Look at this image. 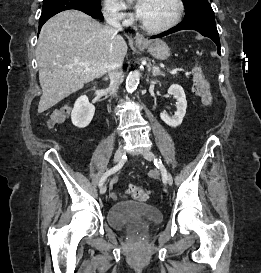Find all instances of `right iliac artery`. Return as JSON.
Listing matches in <instances>:
<instances>
[{
  "instance_id": "obj_1",
  "label": "right iliac artery",
  "mask_w": 261,
  "mask_h": 273,
  "mask_svg": "<svg viewBox=\"0 0 261 273\" xmlns=\"http://www.w3.org/2000/svg\"><path fill=\"white\" fill-rule=\"evenodd\" d=\"M125 159H126V157H125V156H122L121 161H120L116 166H114V167L111 168L110 170H107V171L102 175V177H101V179H100V181H99V187H102V186H103V184H104V182L106 181V179H107L108 176H110L111 174H113V173L119 171V170L122 168V166H123V164H124V162H125Z\"/></svg>"
}]
</instances>
